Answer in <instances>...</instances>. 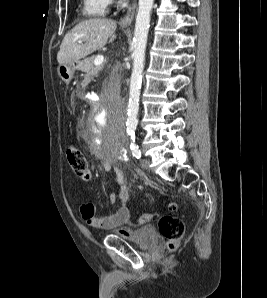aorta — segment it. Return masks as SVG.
Returning a JSON list of instances; mask_svg holds the SVG:
<instances>
[{"mask_svg":"<svg viewBox=\"0 0 267 298\" xmlns=\"http://www.w3.org/2000/svg\"><path fill=\"white\" fill-rule=\"evenodd\" d=\"M154 0H139L133 38V69L129 87V102L126 127L129 133H134L138 124L139 96L142 82V72L145 61V50L150 26V15Z\"/></svg>","mask_w":267,"mask_h":298,"instance_id":"aorta-1","label":"aorta"}]
</instances>
